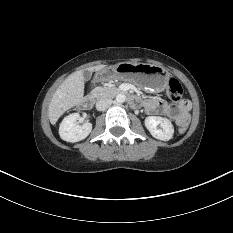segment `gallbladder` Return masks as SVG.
Listing matches in <instances>:
<instances>
[{
	"label": "gallbladder",
	"mask_w": 233,
	"mask_h": 233,
	"mask_svg": "<svg viewBox=\"0 0 233 233\" xmlns=\"http://www.w3.org/2000/svg\"><path fill=\"white\" fill-rule=\"evenodd\" d=\"M92 73L88 70L83 71V77L85 81H89L91 79Z\"/></svg>",
	"instance_id": "gallbladder-1"
}]
</instances>
